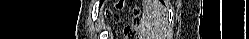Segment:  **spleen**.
<instances>
[{
	"mask_svg": "<svg viewBox=\"0 0 249 39\" xmlns=\"http://www.w3.org/2000/svg\"><path fill=\"white\" fill-rule=\"evenodd\" d=\"M169 34L166 10L158 0H145L140 23L143 39H166Z\"/></svg>",
	"mask_w": 249,
	"mask_h": 39,
	"instance_id": "3e777b00",
	"label": "spleen"
}]
</instances>
